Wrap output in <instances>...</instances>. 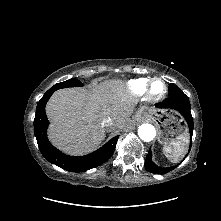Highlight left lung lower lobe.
Instances as JSON below:
<instances>
[{
  "label": "left lung lower lobe",
  "instance_id": "1",
  "mask_svg": "<svg viewBox=\"0 0 221 221\" xmlns=\"http://www.w3.org/2000/svg\"><path fill=\"white\" fill-rule=\"evenodd\" d=\"M156 107L159 109H172L178 111L185 118L188 124L189 133L192 140L193 118L190 111L191 105L189 102V98L185 94H177L169 96L164 101L157 103ZM145 169L153 174H166L167 172L173 170L174 167L160 168L157 165H155L152 162L151 149H149L145 160Z\"/></svg>",
  "mask_w": 221,
  "mask_h": 221
}]
</instances>
